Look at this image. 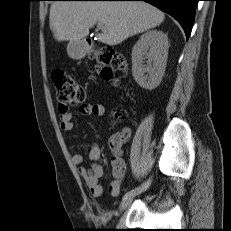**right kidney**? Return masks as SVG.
<instances>
[{
  "instance_id": "ca27d5eb",
  "label": "right kidney",
  "mask_w": 231,
  "mask_h": 231,
  "mask_svg": "<svg viewBox=\"0 0 231 231\" xmlns=\"http://www.w3.org/2000/svg\"><path fill=\"white\" fill-rule=\"evenodd\" d=\"M167 57L168 37L162 31H148L140 37L132 50V73L140 87L152 90L159 85ZM145 58L146 65L143 64Z\"/></svg>"
}]
</instances>
